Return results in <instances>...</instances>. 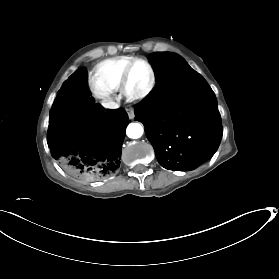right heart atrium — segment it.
<instances>
[{
	"label": "right heart atrium",
	"mask_w": 279,
	"mask_h": 279,
	"mask_svg": "<svg viewBox=\"0 0 279 279\" xmlns=\"http://www.w3.org/2000/svg\"><path fill=\"white\" fill-rule=\"evenodd\" d=\"M93 92H94L95 96L98 98H104L108 94V92H106L103 89L98 88L96 86H93Z\"/></svg>",
	"instance_id": "d8ad5b80"
}]
</instances>
